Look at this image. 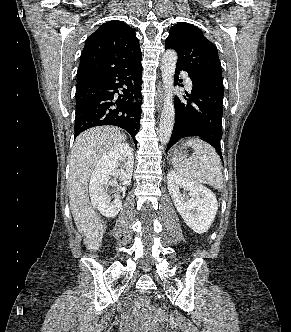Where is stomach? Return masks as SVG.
Segmentation results:
<instances>
[{
    "mask_svg": "<svg viewBox=\"0 0 291 332\" xmlns=\"http://www.w3.org/2000/svg\"><path fill=\"white\" fill-rule=\"evenodd\" d=\"M176 157V158H186L187 154L186 152L183 150V147H176L173 150V155L172 158Z\"/></svg>",
    "mask_w": 291,
    "mask_h": 332,
    "instance_id": "1",
    "label": "stomach"
}]
</instances>
